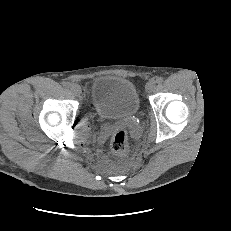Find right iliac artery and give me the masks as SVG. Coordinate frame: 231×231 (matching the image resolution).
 Segmentation results:
<instances>
[{"label": "right iliac artery", "instance_id": "1", "mask_svg": "<svg viewBox=\"0 0 231 231\" xmlns=\"http://www.w3.org/2000/svg\"><path fill=\"white\" fill-rule=\"evenodd\" d=\"M70 85H71V84H70L69 82H66V81L63 82V86H64L65 88H69Z\"/></svg>", "mask_w": 231, "mask_h": 231}]
</instances>
